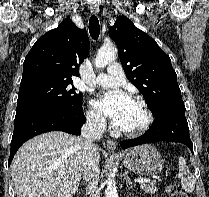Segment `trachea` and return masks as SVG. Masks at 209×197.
Wrapping results in <instances>:
<instances>
[{
  "mask_svg": "<svg viewBox=\"0 0 209 197\" xmlns=\"http://www.w3.org/2000/svg\"><path fill=\"white\" fill-rule=\"evenodd\" d=\"M89 33L93 39H97L100 34L99 20L95 15H92L89 19Z\"/></svg>",
  "mask_w": 209,
  "mask_h": 197,
  "instance_id": "1",
  "label": "trachea"
}]
</instances>
